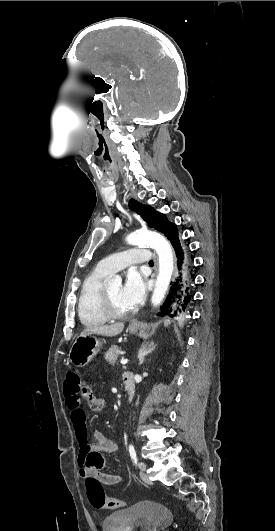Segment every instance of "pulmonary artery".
Returning <instances> with one entry per match:
<instances>
[{
  "instance_id": "obj_1",
  "label": "pulmonary artery",
  "mask_w": 275,
  "mask_h": 531,
  "mask_svg": "<svg viewBox=\"0 0 275 531\" xmlns=\"http://www.w3.org/2000/svg\"><path fill=\"white\" fill-rule=\"evenodd\" d=\"M155 253L152 250L143 249L139 250L137 246H131L125 253L109 254L106 256L105 261H98V272H108L114 276L121 274L125 266L132 265H147L149 259H152Z\"/></svg>"
}]
</instances>
